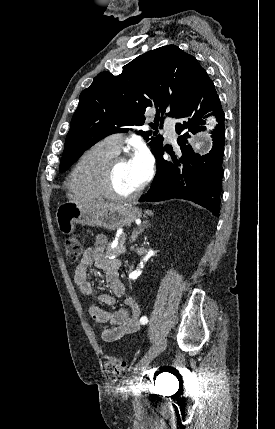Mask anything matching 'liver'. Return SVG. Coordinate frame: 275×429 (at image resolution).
I'll return each mask as SVG.
<instances>
[{"label":"liver","instance_id":"obj_1","mask_svg":"<svg viewBox=\"0 0 275 429\" xmlns=\"http://www.w3.org/2000/svg\"><path fill=\"white\" fill-rule=\"evenodd\" d=\"M67 198L70 202L76 203L80 206V208L88 209V210H101L105 209L111 206H114L116 204L114 203H105V202H98V201H86L78 198L75 195L67 194Z\"/></svg>","mask_w":275,"mask_h":429}]
</instances>
